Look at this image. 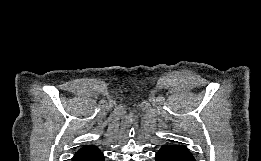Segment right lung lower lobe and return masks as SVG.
Segmentation results:
<instances>
[{
    "instance_id": "obj_1",
    "label": "right lung lower lobe",
    "mask_w": 261,
    "mask_h": 161,
    "mask_svg": "<svg viewBox=\"0 0 261 161\" xmlns=\"http://www.w3.org/2000/svg\"><path fill=\"white\" fill-rule=\"evenodd\" d=\"M72 161H104V156L98 148L88 145L77 151Z\"/></svg>"
}]
</instances>
